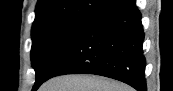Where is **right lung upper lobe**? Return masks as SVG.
Listing matches in <instances>:
<instances>
[{"label": "right lung upper lobe", "instance_id": "right-lung-upper-lobe-1", "mask_svg": "<svg viewBox=\"0 0 173 91\" xmlns=\"http://www.w3.org/2000/svg\"><path fill=\"white\" fill-rule=\"evenodd\" d=\"M116 0H38L33 25L69 19L90 18Z\"/></svg>", "mask_w": 173, "mask_h": 91}]
</instances>
